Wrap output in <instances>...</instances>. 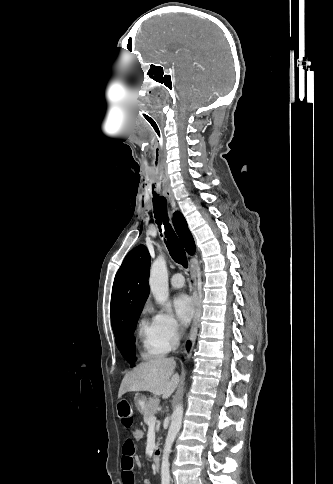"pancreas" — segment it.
Returning <instances> with one entry per match:
<instances>
[{"label":"pancreas","mask_w":333,"mask_h":484,"mask_svg":"<svg viewBox=\"0 0 333 484\" xmlns=\"http://www.w3.org/2000/svg\"><path fill=\"white\" fill-rule=\"evenodd\" d=\"M160 400L158 398H150L145 411L143 412V420L145 424H148L149 418L153 417L158 409ZM160 439H158L159 441Z\"/></svg>","instance_id":"pancreas-1"}]
</instances>
